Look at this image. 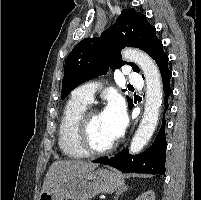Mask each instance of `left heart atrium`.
Instances as JSON below:
<instances>
[{"mask_svg":"<svg viewBox=\"0 0 201 200\" xmlns=\"http://www.w3.org/2000/svg\"><path fill=\"white\" fill-rule=\"evenodd\" d=\"M102 115L108 125L112 138L114 140L120 138L127 124L126 113L121 102L117 100L109 102Z\"/></svg>","mask_w":201,"mask_h":200,"instance_id":"1","label":"left heart atrium"}]
</instances>
